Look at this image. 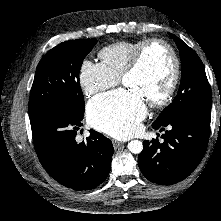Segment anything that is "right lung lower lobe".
Listing matches in <instances>:
<instances>
[{
    "label": "right lung lower lobe",
    "mask_w": 221,
    "mask_h": 221,
    "mask_svg": "<svg viewBox=\"0 0 221 221\" xmlns=\"http://www.w3.org/2000/svg\"><path fill=\"white\" fill-rule=\"evenodd\" d=\"M82 119L59 107L30 117L34 147L43 168L60 184L78 191L104 182L114 153L111 141L92 129L86 141H76Z\"/></svg>",
    "instance_id": "1"
}]
</instances>
